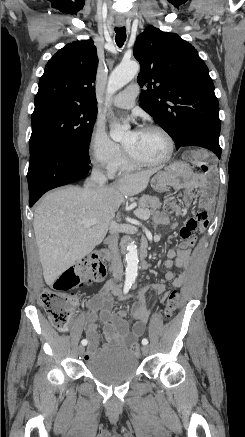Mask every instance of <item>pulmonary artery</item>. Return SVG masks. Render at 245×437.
<instances>
[{
    "instance_id": "1",
    "label": "pulmonary artery",
    "mask_w": 245,
    "mask_h": 437,
    "mask_svg": "<svg viewBox=\"0 0 245 437\" xmlns=\"http://www.w3.org/2000/svg\"><path fill=\"white\" fill-rule=\"evenodd\" d=\"M137 94H138V86L136 84H132L122 92L118 93L113 98L112 103L116 107L129 109L134 105Z\"/></svg>"
}]
</instances>
